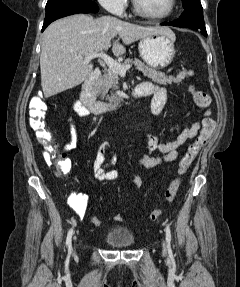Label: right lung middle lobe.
Here are the masks:
<instances>
[{
  "instance_id": "right-lung-middle-lobe-1",
  "label": "right lung middle lobe",
  "mask_w": 240,
  "mask_h": 287,
  "mask_svg": "<svg viewBox=\"0 0 240 287\" xmlns=\"http://www.w3.org/2000/svg\"><path fill=\"white\" fill-rule=\"evenodd\" d=\"M60 1H64V0H48L46 6H47V5H50V4H53V3H55V2H60Z\"/></svg>"
}]
</instances>
